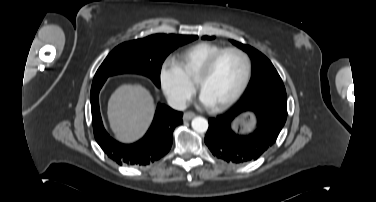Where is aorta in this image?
Here are the masks:
<instances>
[{"label":"aorta","mask_w":376,"mask_h":202,"mask_svg":"<svg viewBox=\"0 0 376 202\" xmlns=\"http://www.w3.org/2000/svg\"><path fill=\"white\" fill-rule=\"evenodd\" d=\"M192 128L198 133H204L208 129V121L203 117H195L191 122Z\"/></svg>","instance_id":"1"}]
</instances>
